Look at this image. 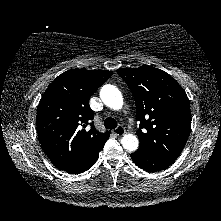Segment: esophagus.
I'll return each mask as SVG.
<instances>
[{"instance_id":"esophagus-1","label":"esophagus","mask_w":221,"mask_h":221,"mask_svg":"<svg viewBox=\"0 0 221 221\" xmlns=\"http://www.w3.org/2000/svg\"><path fill=\"white\" fill-rule=\"evenodd\" d=\"M125 132H126L125 128L121 125L113 130V133L117 136H122L125 134Z\"/></svg>"}]
</instances>
